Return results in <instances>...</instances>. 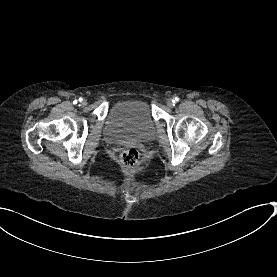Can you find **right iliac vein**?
<instances>
[{
    "label": "right iliac vein",
    "mask_w": 277,
    "mask_h": 277,
    "mask_svg": "<svg viewBox=\"0 0 277 277\" xmlns=\"http://www.w3.org/2000/svg\"><path fill=\"white\" fill-rule=\"evenodd\" d=\"M86 103H87V102H86L85 100L82 101V105H86Z\"/></svg>",
    "instance_id": "right-iliac-vein-1"
}]
</instances>
